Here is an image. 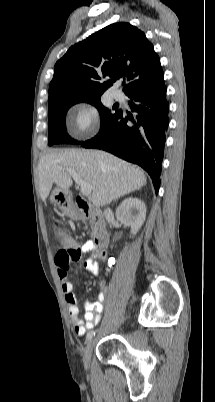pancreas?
<instances>
[{
	"label": "pancreas",
	"instance_id": "obj_1",
	"mask_svg": "<svg viewBox=\"0 0 215 402\" xmlns=\"http://www.w3.org/2000/svg\"><path fill=\"white\" fill-rule=\"evenodd\" d=\"M90 225H91V237H95L98 230L97 224L95 223V221L91 220Z\"/></svg>",
	"mask_w": 215,
	"mask_h": 402
}]
</instances>
